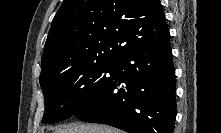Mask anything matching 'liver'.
<instances>
[{"instance_id": "1", "label": "liver", "mask_w": 221, "mask_h": 133, "mask_svg": "<svg viewBox=\"0 0 221 133\" xmlns=\"http://www.w3.org/2000/svg\"><path fill=\"white\" fill-rule=\"evenodd\" d=\"M54 133H121V131L105 125L75 122L56 128Z\"/></svg>"}]
</instances>
